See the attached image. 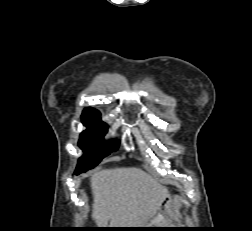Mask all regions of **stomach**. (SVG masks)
Segmentation results:
<instances>
[{
	"instance_id": "stomach-1",
	"label": "stomach",
	"mask_w": 252,
	"mask_h": 231,
	"mask_svg": "<svg viewBox=\"0 0 252 231\" xmlns=\"http://www.w3.org/2000/svg\"><path fill=\"white\" fill-rule=\"evenodd\" d=\"M141 231H170L171 228H178L176 226V220L170 211L169 196L166 195L162 200L158 210L153 216L141 227H138Z\"/></svg>"
}]
</instances>
